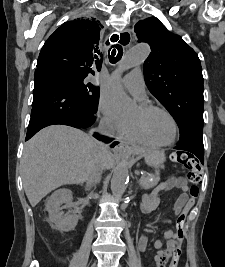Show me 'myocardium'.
Segmentation results:
<instances>
[{"mask_svg": "<svg viewBox=\"0 0 225 267\" xmlns=\"http://www.w3.org/2000/svg\"><path fill=\"white\" fill-rule=\"evenodd\" d=\"M140 109H141L143 115H147V114L154 112V111H158V112H162V113L166 114L173 122L174 129H175L174 137L170 142L157 143V142L153 141L151 139V137L149 136L142 120H133V122L137 126L138 130L143 135V137L148 142H150L152 145H154L155 147H168V146L175 144V142L177 141V139L179 137V125H178L176 118L173 116V114L161 106L151 105V104H143L140 106Z\"/></svg>", "mask_w": 225, "mask_h": 267, "instance_id": "myocardium-1", "label": "myocardium"}]
</instances>
